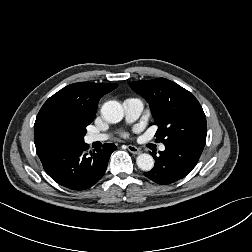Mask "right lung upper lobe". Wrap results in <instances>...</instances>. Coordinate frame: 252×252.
<instances>
[{
  "label": "right lung upper lobe",
  "instance_id": "cb5924a9",
  "mask_svg": "<svg viewBox=\"0 0 252 252\" xmlns=\"http://www.w3.org/2000/svg\"><path fill=\"white\" fill-rule=\"evenodd\" d=\"M117 86V83L80 82L64 87L44 103L36 117L34 131L52 117L89 125L95 118L100 98Z\"/></svg>",
  "mask_w": 252,
  "mask_h": 252
}]
</instances>
